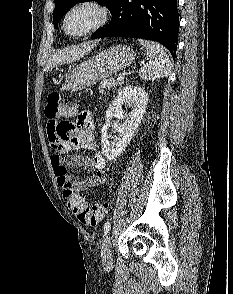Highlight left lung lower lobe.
<instances>
[{
  "label": "left lung lower lobe",
  "mask_w": 233,
  "mask_h": 294,
  "mask_svg": "<svg viewBox=\"0 0 233 294\" xmlns=\"http://www.w3.org/2000/svg\"><path fill=\"white\" fill-rule=\"evenodd\" d=\"M177 0H118L112 19L92 39L133 37L164 45L175 58L178 43Z\"/></svg>",
  "instance_id": "1"
}]
</instances>
